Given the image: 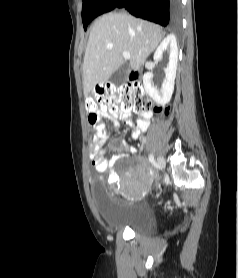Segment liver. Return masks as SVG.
<instances>
[{
  "label": "liver",
  "mask_w": 238,
  "mask_h": 278,
  "mask_svg": "<svg viewBox=\"0 0 238 278\" xmlns=\"http://www.w3.org/2000/svg\"><path fill=\"white\" fill-rule=\"evenodd\" d=\"M161 27L126 13L110 12L98 18L90 32L83 62L84 93L108 81L130 53V67L138 70L164 37Z\"/></svg>",
  "instance_id": "6515ba94"
}]
</instances>
